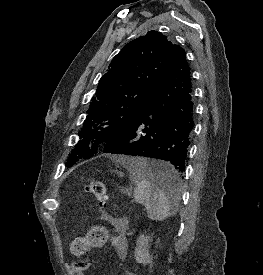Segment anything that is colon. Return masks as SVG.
Instances as JSON below:
<instances>
[{"instance_id": "colon-1", "label": "colon", "mask_w": 263, "mask_h": 275, "mask_svg": "<svg viewBox=\"0 0 263 275\" xmlns=\"http://www.w3.org/2000/svg\"><path fill=\"white\" fill-rule=\"evenodd\" d=\"M85 192L94 196L101 206L107 203L106 187L103 182L90 179L85 185ZM111 241L109 231L102 226H96L90 229L84 236L76 237L70 245V251L73 255H84L91 248L105 246ZM89 268V263L86 261H77L74 263L76 275H85ZM126 275H134L133 272H127Z\"/></svg>"}]
</instances>
